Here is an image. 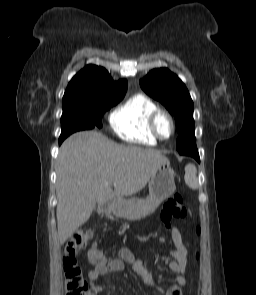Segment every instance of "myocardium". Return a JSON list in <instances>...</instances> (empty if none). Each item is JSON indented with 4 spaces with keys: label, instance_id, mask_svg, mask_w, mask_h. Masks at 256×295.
<instances>
[{
    "label": "myocardium",
    "instance_id": "1",
    "mask_svg": "<svg viewBox=\"0 0 256 295\" xmlns=\"http://www.w3.org/2000/svg\"><path fill=\"white\" fill-rule=\"evenodd\" d=\"M161 118H166L170 124L171 132L168 137H164L158 129V122ZM149 128L157 139L166 141L172 138L173 135L175 134L176 124H175L174 118L169 112L162 109H157L155 112L151 114L149 118Z\"/></svg>",
    "mask_w": 256,
    "mask_h": 295
}]
</instances>
